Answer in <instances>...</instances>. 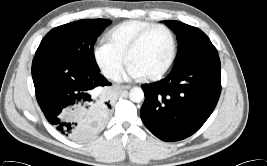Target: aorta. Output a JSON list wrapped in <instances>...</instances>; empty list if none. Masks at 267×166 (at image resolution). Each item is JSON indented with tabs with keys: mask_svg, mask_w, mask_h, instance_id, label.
<instances>
[{
	"mask_svg": "<svg viewBox=\"0 0 267 166\" xmlns=\"http://www.w3.org/2000/svg\"><path fill=\"white\" fill-rule=\"evenodd\" d=\"M129 98L133 102H141L144 98V93H143L142 89H140L138 87H134L129 92Z\"/></svg>",
	"mask_w": 267,
	"mask_h": 166,
	"instance_id": "obj_1",
	"label": "aorta"
}]
</instances>
